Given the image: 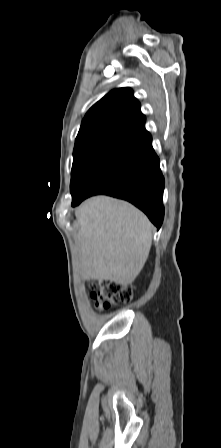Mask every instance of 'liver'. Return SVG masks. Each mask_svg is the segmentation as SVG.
I'll list each match as a JSON object with an SVG mask.
<instances>
[{"mask_svg":"<svg viewBox=\"0 0 221 448\" xmlns=\"http://www.w3.org/2000/svg\"><path fill=\"white\" fill-rule=\"evenodd\" d=\"M75 215L84 277L131 284L151 249L153 226L148 218L130 203L108 196L88 199Z\"/></svg>","mask_w":221,"mask_h":448,"instance_id":"1","label":"liver"}]
</instances>
